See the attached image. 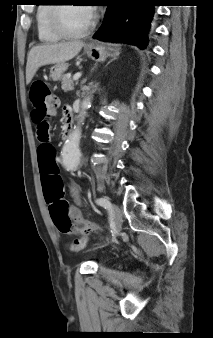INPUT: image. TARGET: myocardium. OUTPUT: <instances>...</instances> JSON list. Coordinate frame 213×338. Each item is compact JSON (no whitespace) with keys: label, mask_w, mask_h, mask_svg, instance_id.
<instances>
[{"label":"myocardium","mask_w":213,"mask_h":338,"mask_svg":"<svg viewBox=\"0 0 213 338\" xmlns=\"http://www.w3.org/2000/svg\"><path fill=\"white\" fill-rule=\"evenodd\" d=\"M68 6L72 5H55V7H52L49 21L51 31L58 37L64 39H78L88 35L95 28L96 23L94 20L90 22L88 27L79 32H70L63 27L60 13L63 8Z\"/></svg>","instance_id":"obj_1"}]
</instances>
